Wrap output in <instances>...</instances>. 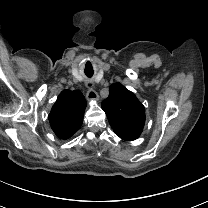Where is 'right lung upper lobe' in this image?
<instances>
[{"label":"right lung upper lobe","instance_id":"cb5924a9","mask_svg":"<svg viewBox=\"0 0 208 208\" xmlns=\"http://www.w3.org/2000/svg\"><path fill=\"white\" fill-rule=\"evenodd\" d=\"M86 100L78 91L63 90L50 114L49 122L54 133L61 139H68L81 127Z\"/></svg>","mask_w":208,"mask_h":208}]
</instances>
